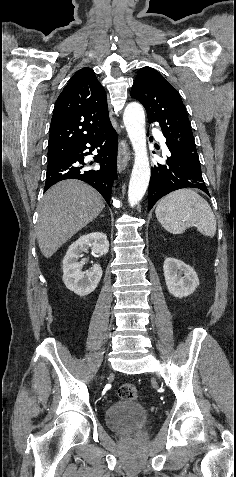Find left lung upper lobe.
<instances>
[{
	"label": "left lung upper lobe",
	"instance_id": "obj_1",
	"mask_svg": "<svg viewBox=\"0 0 236 477\" xmlns=\"http://www.w3.org/2000/svg\"><path fill=\"white\" fill-rule=\"evenodd\" d=\"M131 97L145 107L149 123L160 124L168 148L199 160L182 99L158 71L141 68L131 89Z\"/></svg>",
	"mask_w": 236,
	"mask_h": 477
}]
</instances>
